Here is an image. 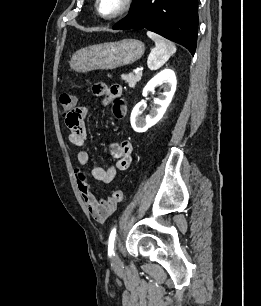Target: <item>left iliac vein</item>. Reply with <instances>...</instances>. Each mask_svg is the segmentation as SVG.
Masks as SVG:
<instances>
[{
    "label": "left iliac vein",
    "mask_w": 261,
    "mask_h": 306,
    "mask_svg": "<svg viewBox=\"0 0 261 306\" xmlns=\"http://www.w3.org/2000/svg\"><path fill=\"white\" fill-rule=\"evenodd\" d=\"M111 262L114 267H119L121 265V260L117 252L113 254Z\"/></svg>",
    "instance_id": "4c4485c4"
}]
</instances>
